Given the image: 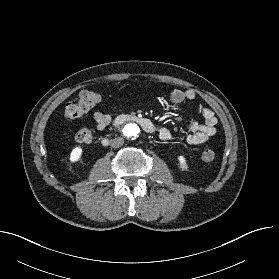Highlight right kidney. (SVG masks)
<instances>
[{
	"label": "right kidney",
	"mask_w": 279,
	"mask_h": 279,
	"mask_svg": "<svg viewBox=\"0 0 279 279\" xmlns=\"http://www.w3.org/2000/svg\"><path fill=\"white\" fill-rule=\"evenodd\" d=\"M82 152L83 150L81 147L74 148L70 154V161L73 163L79 161L82 157Z\"/></svg>",
	"instance_id": "1"
}]
</instances>
